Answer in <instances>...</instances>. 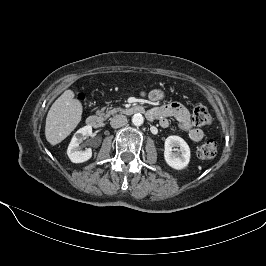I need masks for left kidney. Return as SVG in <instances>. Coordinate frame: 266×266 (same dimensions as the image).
I'll return each mask as SVG.
<instances>
[{"instance_id":"1","label":"left kidney","mask_w":266,"mask_h":266,"mask_svg":"<svg viewBox=\"0 0 266 266\" xmlns=\"http://www.w3.org/2000/svg\"><path fill=\"white\" fill-rule=\"evenodd\" d=\"M173 148L177 152H173ZM164 159L173 169L181 170L187 167L190 161V148L186 141L175 135L167 137L164 144Z\"/></svg>"}]
</instances>
